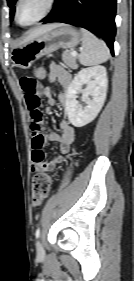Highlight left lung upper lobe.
<instances>
[{
  "label": "left lung upper lobe",
  "mask_w": 134,
  "mask_h": 281,
  "mask_svg": "<svg viewBox=\"0 0 134 281\" xmlns=\"http://www.w3.org/2000/svg\"><path fill=\"white\" fill-rule=\"evenodd\" d=\"M17 0H7V3L9 5V7L11 8L10 10V17L11 19H13V16H14V12H15V3H16Z\"/></svg>",
  "instance_id": "obj_1"
}]
</instances>
